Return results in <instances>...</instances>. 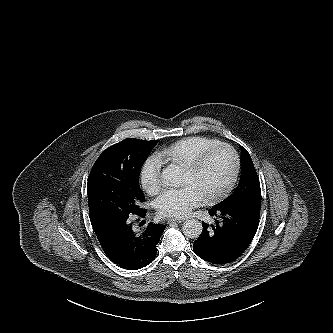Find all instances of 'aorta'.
Here are the masks:
<instances>
[{
	"label": "aorta",
	"instance_id": "762f6f07",
	"mask_svg": "<svg viewBox=\"0 0 333 333\" xmlns=\"http://www.w3.org/2000/svg\"><path fill=\"white\" fill-rule=\"evenodd\" d=\"M164 183L176 185L179 183V170L176 166L170 165L161 174ZM183 234L191 239L198 238L202 233V224L196 219H188L182 226Z\"/></svg>",
	"mask_w": 333,
	"mask_h": 333
}]
</instances>
